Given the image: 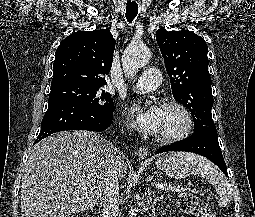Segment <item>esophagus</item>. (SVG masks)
Wrapping results in <instances>:
<instances>
[{
    "label": "esophagus",
    "mask_w": 255,
    "mask_h": 217,
    "mask_svg": "<svg viewBox=\"0 0 255 217\" xmlns=\"http://www.w3.org/2000/svg\"><path fill=\"white\" fill-rule=\"evenodd\" d=\"M147 154H148V149L146 147H140L138 150H137V155L139 158H146L147 157Z\"/></svg>",
    "instance_id": "1"
}]
</instances>
